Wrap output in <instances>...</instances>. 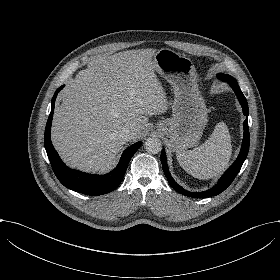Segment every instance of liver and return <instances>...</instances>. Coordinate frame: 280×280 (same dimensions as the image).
I'll use <instances>...</instances> for the list:
<instances>
[{"instance_id":"obj_1","label":"liver","mask_w":280,"mask_h":280,"mask_svg":"<svg viewBox=\"0 0 280 280\" xmlns=\"http://www.w3.org/2000/svg\"><path fill=\"white\" fill-rule=\"evenodd\" d=\"M154 54V49H138L92 59L67 84L55 107L51 138L68 166L107 172L125 144L119 131L130 129L136 142L145 135L148 116L167 111Z\"/></svg>"}]
</instances>
